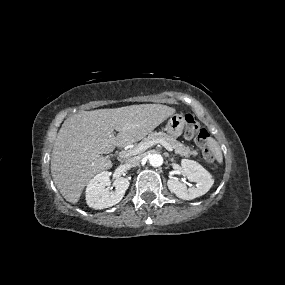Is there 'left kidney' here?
I'll list each match as a JSON object with an SVG mask.
<instances>
[{
    "label": "left kidney",
    "instance_id": "left-kidney-1",
    "mask_svg": "<svg viewBox=\"0 0 285 285\" xmlns=\"http://www.w3.org/2000/svg\"><path fill=\"white\" fill-rule=\"evenodd\" d=\"M182 173L191 182H196L194 187L187 188L186 185L176 179H169L167 186L178 198L192 200L207 193L214 183L212 175L199 163L193 160L183 159L181 161Z\"/></svg>",
    "mask_w": 285,
    "mask_h": 285
}]
</instances>
